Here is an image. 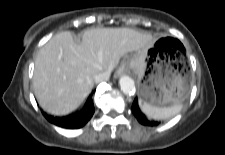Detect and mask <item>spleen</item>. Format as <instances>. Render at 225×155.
Segmentation results:
<instances>
[{
  "mask_svg": "<svg viewBox=\"0 0 225 155\" xmlns=\"http://www.w3.org/2000/svg\"><path fill=\"white\" fill-rule=\"evenodd\" d=\"M139 106L143 113H145L148 117L157 120L171 118L182 109L181 103L169 107H156L143 102L141 99L139 100Z\"/></svg>",
  "mask_w": 225,
  "mask_h": 155,
  "instance_id": "3e777b00",
  "label": "spleen"
}]
</instances>
